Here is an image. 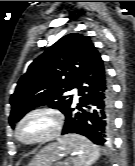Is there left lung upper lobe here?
Returning a JSON list of instances; mask_svg holds the SVG:
<instances>
[{"mask_svg": "<svg viewBox=\"0 0 135 166\" xmlns=\"http://www.w3.org/2000/svg\"><path fill=\"white\" fill-rule=\"evenodd\" d=\"M98 54L89 37L71 33L49 47L28 67L10 98L9 123L14 126L31 109L48 105L64 113L73 103L68 92Z\"/></svg>", "mask_w": 135, "mask_h": 166, "instance_id": "5c2ea615", "label": "left lung upper lobe"}]
</instances>
